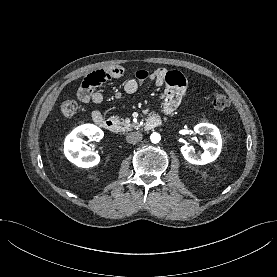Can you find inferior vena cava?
Returning a JSON list of instances; mask_svg holds the SVG:
<instances>
[{
  "instance_id": "obj_1",
  "label": "inferior vena cava",
  "mask_w": 277,
  "mask_h": 277,
  "mask_svg": "<svg viewBox=\"0 0 277 277\" xmlns=\"http://www.w3.org/2000/svg\"><path fill=\"white\" fill-rule=\"evenodd\" d=\"M142 133L140 132H131L127 134L126 140L128 143L136 144L142 140Z\"/></svg>"
}]
</instances>
